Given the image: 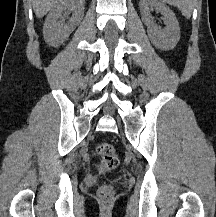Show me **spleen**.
<instances>
[{
    "instance_id": "obj_1",
    "label": "spleen",
    "mask_w": 216,
    "mask_h": 217,
    "mask_svg": "<svg viewBox=\"0 0 216 217\" xmlns=\"http://www.w3.org/2000/svg\"><path fill=\"white\" fill-rule=\"evenodd\" d=\"M164 3L174 5L179 8L183 16L190 18L193 10L194 0H161Z\"/></svg>"
}]
</instances>
